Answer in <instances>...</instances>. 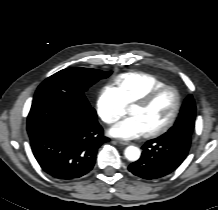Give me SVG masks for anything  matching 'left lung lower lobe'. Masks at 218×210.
<instances>
[{
  "label": "left lung lower lobe",
  "instance_id": "obj_1",
  "mask_svg": "<svg viewBox=\"0 0 218 210\" xmlns=\"http://www.w3.org/2000/svg\"><path fill=\"white\" fill-rule=\"evenodd\" d=\"M191 140L184 135L169 139L158 137L147 141L141 158L130 164L128 169L144 179H157L174 171L186 158Z\"/></svg>",
  "mask_w": 218,
  "mask_h": 210
}]
</instances>
